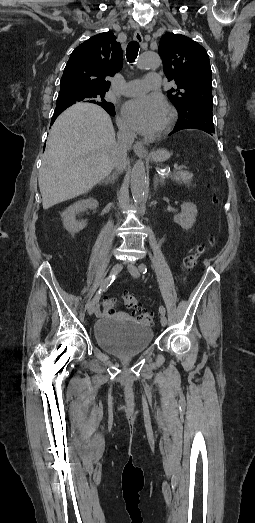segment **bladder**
Masks as SVG:
<instances>
[{"label":"bladder","mask_w":255,"mask_h":523,"mask_svg":"<svg viewBox=\"0 0 255 523\" xmlns=\"http://www.w3.org/2000/svg\"><path fill=\"white\" fill-rule=\"evenodd\" d=\"M123 319L106 316L99 320L94 328L93 337L99 347L121 356L142 352L151 345L153 330L151 327L138 324L131 319L120 323Z\"/></svg>","instance_id":"bladder-1"}]
</instances>
